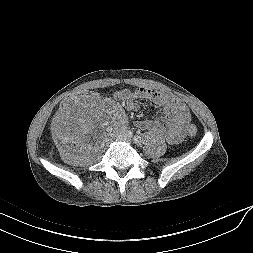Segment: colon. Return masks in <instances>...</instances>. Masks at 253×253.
Wrapping results in <instances>:
<instances>
[{"label":"colon","instance_id":"colon-1","mask_svg":"<svg viewBox=\"0 0 253 253\" xmlns=\"http://www.w3.org/2000/svg\"><path fill=\"white\" fill-rule=\"evenodd\" d=\"M94 92L92 90H81L68 94L64 101L60 102V108L66 111L77 99L79 98H93ZM187 134L189 136H195L197 134V128L195 125H189L187 127Z\"/></svg>","mask_w":253,"mask_h":253}]
</instances>
